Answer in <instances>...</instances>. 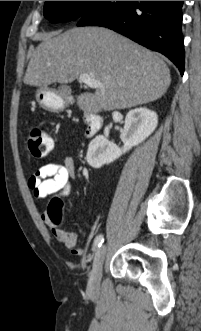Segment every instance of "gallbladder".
<instances>
[{
	"label": "gallbladder",
	"mask_w": 201,
	"mask_h": 331,
	"mask_svg": "<svg viewBox=\"0 0 201 331\" xmlns=\"http://www.w3.org/2000/svg\"><path fill=\"white\" fill-rule=\"evenodd\" d=\"M57 94L63 98H68L71 94V90L67 85H61L58 88Z\"/></svg>",
	"instance_id": "gallbladder-1"
}]
</instances>
